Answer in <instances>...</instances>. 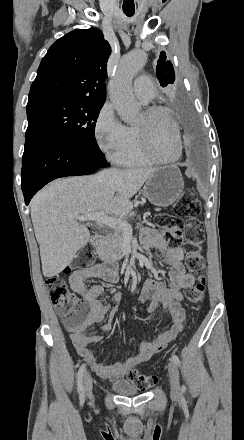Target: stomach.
<instances>
[{
    "mask_svg": "<svg viewBox=\"0 0 244 440\" xmlns=\"http://www.w3.org/2000/svg\"><path fill=\"white\" fill-rule=\"evenodd\" d=\"M184 190L182 174L174 164L156 168L150 174L142 190L144 198H147L154 206H171L179 200Z\"/></svg>",
    "mask_w": 244,
    "mask_h": 440,
    "instance_id": "1",
    "label": "stomach"
}]
</instances>
